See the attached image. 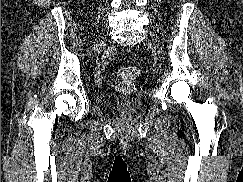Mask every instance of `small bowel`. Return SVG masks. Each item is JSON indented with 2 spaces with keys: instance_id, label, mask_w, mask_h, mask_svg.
Returning a JSON list of instances; mask_svg holds the SVG:
<instances>
[{
  "instance_id": "small-bowel-1",
  "label": "small bowel",
  "mask_w": 243,
  "mask_h": 182,
  "mask_svg": "<svg viewBox=\"0 0 243 182\" xmlns=\"http://www.w3.org/2000/svg\"><path fill=\"white\" fill-rule=\"evenodd\" d=\"M113 56H114V50L113 49H108L104 53V55L100 58L98 64L95 67V70H94V74H95L96 80L98 82H101V80H102V72H103V69L105 67V64H106L107 60L110 59Z\"/></svg>"
}]
</instances>
